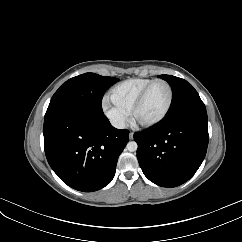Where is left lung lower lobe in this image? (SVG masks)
<instances>
[{
	"label": "left lung lower lobe",
	"instance_id": "1",
	"mask_svg": "<svg viewBox=\"0 0 242 242\" xmlns=\"http://www.w3.org/2000/svg\"><path fill=\"white\" fill-rule=\"evenodd\" d=\"M207 123L205 105H195L168 115L157 128L135 133L144 175L162 187L188 181L206 155Z\"/></svg>",
	"mask_w": 242,
	"mask_h": 242
}]
</instances>
